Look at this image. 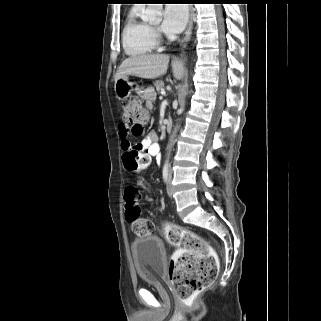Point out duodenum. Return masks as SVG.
<instances>
[{
    "label": "duodenum",
    "mask_w": 321,
    "mask_h": 321,
    "mask_svg": "<svg viewBox=\"0 0 321 321\" xmlns=\"http://www.w3.org/2000/svg\"><path fill=\"white\" fill-rule=\"evenodd\" d=\"M172 128H173V122L171 119H167L165 121V129L167 132H171L172 131Z\"/></svg>",
    "instance_id": "410a0bca"
}]
</instances>
